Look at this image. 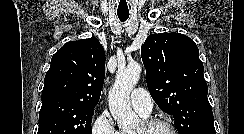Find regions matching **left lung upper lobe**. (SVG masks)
<instances>
[{
    "label": "left lung upper lobe",
    "mask_w": 244,
    "mask_h": 134,
    "mask_svg": "<svg viewBox=\"0 0 244 134\" xmlns=\"http://www.w3.org/2000/svg\"><path fill=\"white\" fill-rule=\"evenodd\" d=\"M152 98L179 134H216L197 45L180 33L152 34L141 48Z\"/></svg>",
    "instance_id": "obj_1"
}]
</instances>
